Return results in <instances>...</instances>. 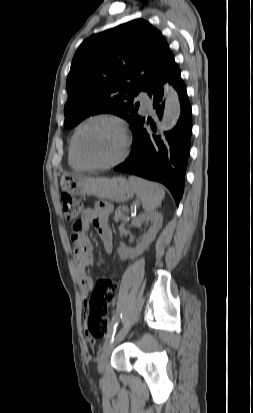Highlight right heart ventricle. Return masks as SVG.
Masks as SVG:
<instances>
[{
    "instance_id": "obj_1",
    "label": "right heart ventricle",
    "mask_w": 253,
    "mask_h": 413,
    "mask_svg": "<svg viewBox=\"0 0 253 413\" xmlns=\"http://www.w3.org/2000/svg\"><path fill=\"white\" fill-rule=\"evenodd\" d=\"M68 163L71 167L75 169H83L84 167L76 160L73 150H72V140L69 143L68 146Z\"/></svg>"
}]
</instances>
